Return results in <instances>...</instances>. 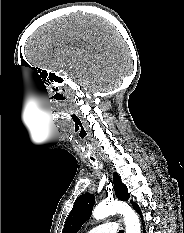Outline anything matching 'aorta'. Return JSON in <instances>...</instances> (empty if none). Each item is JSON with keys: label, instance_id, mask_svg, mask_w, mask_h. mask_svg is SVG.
Here are the masks:
<instances>
[{"label": "aorta", "instance_id": "762f6f07", "mask_svg": "<svg viewBox=\"0 0 184 233\" xmlns=\"http://www.w3.org/2000/svg\"><path fill=\"white\" fill-rule=\"evenodd\" d=\"M120 213L124 217L126 233H140V222L135 211L126 203L121 201H103L93 210L96 220H102L112 214Z\"/></svg>", "mask_w": 184, "mask_h": 233}]
</instances>
